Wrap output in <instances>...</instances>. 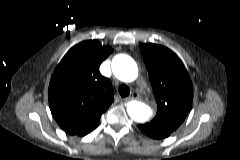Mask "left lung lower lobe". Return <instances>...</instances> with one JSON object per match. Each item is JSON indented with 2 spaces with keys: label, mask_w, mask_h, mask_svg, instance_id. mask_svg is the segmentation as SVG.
Masks as SVG:
<instances>
[{
  "label": "left lung lower lobe",
  "mask_w": 240,
  "mask_h": 160,
  "mask_svg": "<svg viewBox=\"0 0 240 160\" xmlns=\"http://www.w3.org/2000/svg\"><path fill=\"white\" fill-rule=\"evenodd\" d=\"M138 127L145 135L153 139H163L170 135L150 123L140 124Z\"/></svg>",
  "instance_id": "left-lung-lower-lobe-1"
}]
</instances>
